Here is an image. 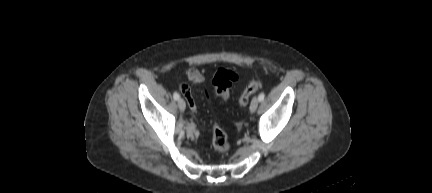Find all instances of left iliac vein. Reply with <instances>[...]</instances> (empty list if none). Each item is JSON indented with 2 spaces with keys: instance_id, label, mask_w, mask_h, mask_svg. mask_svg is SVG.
<instances>
[{
  "instance_id": "4c4485c4",
  "label": "left iliac vein",
  "mask_w": 432,
  "mask_h": 193,
  "mask_svg": "<svg viewBox=\"0 0 432 193\" xmlns=\"http://www.w3.org/2000/svg\"><path fill=\"white\" fill-rule=\"evenodd\" d=\"M259 99L257 97H254L250 104V111L255 112L258 108Z\"/></svg>"
}]
</instances>
